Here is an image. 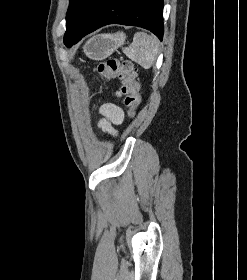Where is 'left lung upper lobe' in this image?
Listing matches in <instances>:
<instances>
[{
  "label": "left lung upper lobe",
  "mask_w": 247,
  "mask_h": 280,
  "mask_svg": "<svg viewBox=\"0 0 247 280\" xmlns=\"http://www.w3.org/2000/svg\"><path fill=\"white\" fill-rule=\"evenodd\" d=\"M101 0H70L66 16V33L64 36L75 34L82 26L90 11Z\"/></svg>",
  "instance_id": "1"
}]
</instances>
